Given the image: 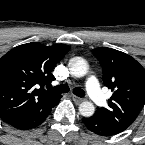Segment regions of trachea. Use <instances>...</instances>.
Instances as JSON below:
<instances>
[{
  "label": "trachea",
  "mask_w": 145,
  "mask_h": 145,
  "mask_svg": "<svg viewBox=\"0 0 145 145\" xmlns=\"http://www.w3.org/2000/svg\"><path fill=\"white\" fill-rule=\"evenodd\" d=\"M48 90L57 92V93H66L69 91V86L66 84H62V85L55 86V87H48ZM73 93L75 95H77L78 97L85 96V92L81 88H74Z\"/></svg>",
  "instance_id": "obj_1"
}]
</instances>
